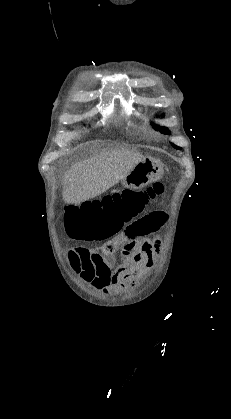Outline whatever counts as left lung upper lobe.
I'll return each instance as SVG.
<instances>
[{"mask_svg":"<svg viewBox=\"0 0 231 419\" xmlns=\"http://www.w3.org/2000/svg\"><path fill=\"white\" fill-rule=\"evenodd\" d=\"M154 128L156 129V130H159L160 132H162V133H164V134H170L169 133V131H168V129L167 128H165V127H159V126H155L154 125ZM173 145V144H172ZM173 147H175L176 149H181L180 147H177V146H175V145H173Z\"/></svg>","mask_w":231,"mask_h":419,"instance_id":"1","label":"left lung upper lobe"}]
</instances>
